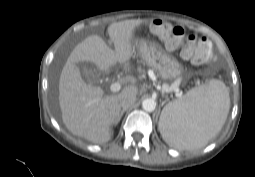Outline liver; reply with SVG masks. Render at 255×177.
<instances>
[{"instance_id": "obj_1", "label": "liver", "mask_w": 255, "mask_h": 177, "mask_svg": "<svg viewBox=\"0 0 255 177\" xmlns=\"http://www.w3.org/2000/svg\"><path fill=\"white\" fill-rule=\"evenodd\" d=\"M141 23L140 20H125L108 27L115 50L109 48L100 36L91 35L79 43L68 57L59 79V105L62 120L74 135L96 144L109 141L112 126L120 114L121 98L127 94H138L136 78L128 76L129 85L120 93L103 96L100 87L83 81L76 64L91 62L100 71L108 73L119 62L124 70H129V61L134 52V30Z\"/></svg>"}]
</instances>
